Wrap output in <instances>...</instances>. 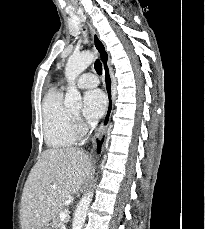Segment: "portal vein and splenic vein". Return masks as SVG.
<instances>
[{
	"instance_id": "18ae733b",
	"label": "portal vein and splenic vein",
	"mask_w": 205,
	"mask_h": 229,
	"mask_svg": "<svg viewBox=\"0 0 205 229\" xmlns=\"http://www.w3.org/2000/svg\"><path fill=\"white\" fill-rule=\"evenodd\" d=\"M68 212H69L68 210H65V211L60 213L59 218H60L61 221L66 220V218L68 216Z\"/></svg>"
}]
</instances>
